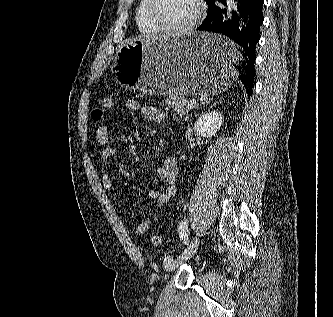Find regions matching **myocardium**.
I'll use <instances>...</instances> for the list:
<instances>
[{"label":"myocardium","instance_id":"f54148a6","mask_svg":"<svg viewBox=\"0 0 333 317\" xmlns=\"http://www.w3.org/2000/svg\"><path fill=\"white\" fill-rule=\"evenodd\" d=\"M195 4V13L192 17V19L183 26H171L164 22H162L155 14L154 12V5L155 0H147L146 2V13L149 18V20L152 22V24L158 28L160 31L168 32L176 35H183L190 33L193 31L196 26L198 25L203 11H204V4L203 0H194Z\"/></svg>","mask_w":333,"mask_h":317}]
</instances>
